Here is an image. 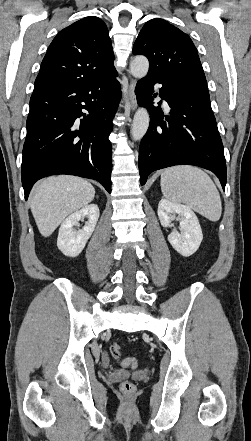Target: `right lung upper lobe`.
Returning a JSON list of instances; mask_svg holds the SVG:
<instances>
[{"label": "right lung upper lobe", "mask_w": 251, "mask_h": 441, "mask_svg": "<svg viewBox=\"0 0 251 441\" xmlns=\"http://www.w3.org/2000/svg\"><path fill=\"white\" fill-rule=\"evenodd\" d=\"M112 43L105 23L95 16L61 30L42 61L34 89L75 84L115 70Z\"/></svg>", "instance_id": "right-lung-upper-lobe-1"}]
</instances>
